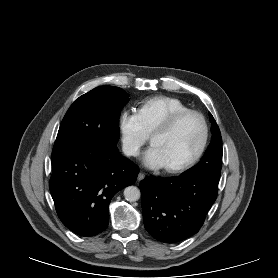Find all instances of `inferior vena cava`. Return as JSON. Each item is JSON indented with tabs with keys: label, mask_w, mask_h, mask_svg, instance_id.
<instances>
[{
	"label": "inferior vena cava",
	"mask_w": 278,
	"mask_h": 278,
	"mask_svg": "<svg viewBox=\"0 0 278 278\" xmlns=\"http://www.w3.org/2000/svg\"><path fill=\"white\" fill-rule=\"evenodd\" d=\"M123 153L126 156H136L137 155V148L130 145H123Z\"/></svg>",
	"instance_id": "1"
}]
</instances>
